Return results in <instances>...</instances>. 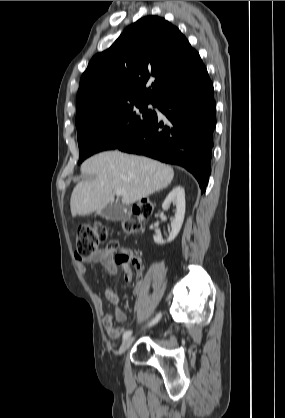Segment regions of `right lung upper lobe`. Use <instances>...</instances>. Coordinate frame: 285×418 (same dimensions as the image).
Returning a JSON list of instances; mask_svg holds the SVG:
<instances>
[{
  "mask_svg": "<svg viewBox=\"0 0 285 418\" xmlns=\"http://www.w3.org/2000/svg\"><path fill=\"white\" fill-rule=\"evenodd\" d=\"M205 71L177 27L158 16L143 17L91 59L80 80L76 124L116 105L158 104Z\"/></svg>",
  "mask_w": 285,
  "mask_h": 418,
  "instance_id": "cb5924a9",
  "label": "right lung upper lobe"
}]
</instances>
